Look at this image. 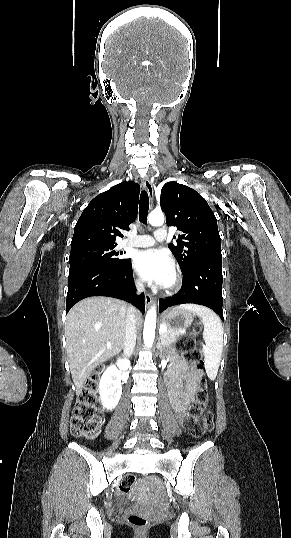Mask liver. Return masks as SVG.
I'll list each match as a JSON object with an SVG mask.
<instances>
[{"mask_svg":"<svg viewBox=\"0 0 291 538\" xmlns=\"http://www.w3.org/2000/svg\"><path fill=\"white\" fill-rule=\"evenodd\" d=\"M128 310L120 300L90 297L68 312L65 335L76 395L81 394L84 381L96 366L122 350ZM136 319L142 320L139 312Z\"/></svg>","mask_w":291,"mask_h":538,"instance_id":"liver-1","label":"liver"}]
</instances>
